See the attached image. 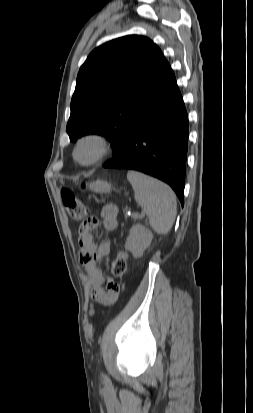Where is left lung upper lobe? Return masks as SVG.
I'll use <instances>...</instances> for the list:
<instances>
[{"label": "left lung upper lobe", "instance_id": "obj_1", "mask_svg": "<svg viewBox=\"0 0 253 413\" xmlns=\"http://www.w3.org/2000/svg\"><path fill=\"white\" fill-rule=\"evenodd\" d=\"M169 66L160 48L143 36H124L93 50L77 76L67 123L70 140L105 135L116 157L128 122Z\"/></svg>", "mask_w": 253, "mask_h": 413}]
</instances>
